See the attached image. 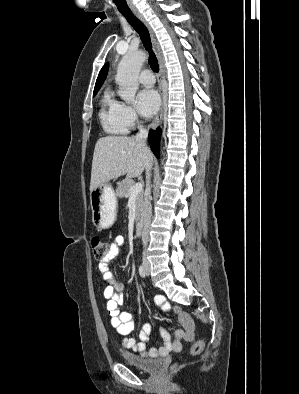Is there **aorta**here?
Returning a JSON list of instances; mask_svg holds the SVG:
<instances>
[{
    "label": "aorta",
    "instance_id": "obj_1",
    "mask_svg": "<svg viewBox=\"0 0 299 394\" xmlns=\"http://www.w3.org/2000/svg\"><path fill=\"white\" fill-rule=\"evenodd\" d=\"M146 54L143 51L128 52L121 59L116 75V83L119 85V96L127 101L133 102L138 89V75Z\"/></svg>",
    "mask_w": 299,
    "mask_h": 394
}]
</instances>
